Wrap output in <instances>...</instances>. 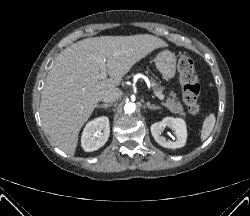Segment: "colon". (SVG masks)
<instances>
[{
    "label": "colon",
    "mask_w": 250,
    "mask_h": 216,
    "mask_svg": "<svg viewBox=\"0 0 250 216\" xmlns=\"http://www.w3.org/2000/svg\"><path fill=\"white\" fill-rule=\"evenodd\" d=\"M178 71L182 86V97L188 111L197 114L200 110V85L194 62L188 55H181L178 60Z\"/></svg>",
    "instance_id": "colon-1"
}]
</instances>
